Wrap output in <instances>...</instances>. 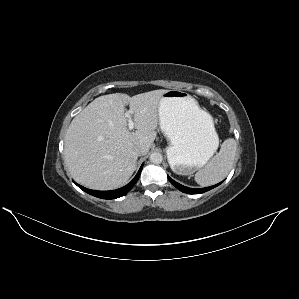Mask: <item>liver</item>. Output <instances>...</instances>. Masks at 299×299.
Listing matches in <instances>:
<instances>
[{
    "label": "liver",
    "instance_id": "liver-1",
    "mask_svg": "<svg viewBox=\"0 0 299 299\" xmlns=\"http://www.w3.org/2000/svg\"><path fill=\"white\" fill-rule=\"evenodd\" d=\"M167 90L130 97L123 93L93 100L69 125L64 139V161L72 177L95 190L123 186L136 169L134 148H151L159 124V102ZM133 114L135 132L128 128L124 108Z\"/></svg>",
    "mask_w": 299,
    "mask_h": 299
}]
</instances>
